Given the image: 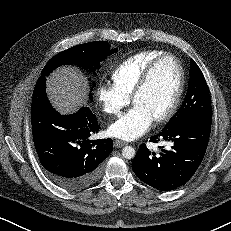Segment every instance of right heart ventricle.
I'll return each mask as SVG.
<instances>
[{"label":"right heart ventricle","instance_id":"e07e8e85","mask_svg":"<svg viewBox=\"0 0 231 231\" xmlns=\"http://www.w3.org/2000/svg\"><path fill=\"white\" fill-rule=\"evenodd\" d=\"M163 53L160 50H148L127 58L112 73L114 85L124 95L131 97L146 66Z\"/></svg>","mask_w":231,"mask_h":231}]
</instances>
